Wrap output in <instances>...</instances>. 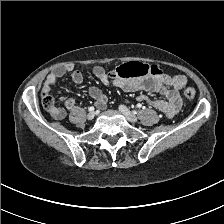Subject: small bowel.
I'll return each instance as SVG.
<instances>
[{
	"label": "small bowel",
	"mask_w": 224,
	"mask_h": 224,
	"mask_svg": "<svg viewBox=\"0 0 224 224\" xmlns=\"http://www.w3.org/2000/svg\"><path fill=\"white\" fill-rule=\"evenodd\" d=\"M67 72L71 73V79L74 83L81 84L83 82V75L80 71L74 70L71 65L59 66L46 77L43 84V94L50 95L51 87ZM93 74L102 84L111 85L126 92L147 91L162 94L165 99L152 100L146 94H141L138 96V99L163 112L167 117H173L181 108L179 90L182 83H186V78L182 75L170 76L160 72L156 75H149L137 79H122L119 77L111 79L101 66L94 67ZM89 95L99 107L105 106L107 97L98 87H89ZM74 105L75 100L73 98H68L65 101L66 109H72ZM65 108H58L50 112L54 118L62 119L66 116Z\"/></svg>",
	"instance_id": "small-bowel-1"
}]
</instances>
